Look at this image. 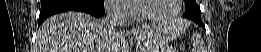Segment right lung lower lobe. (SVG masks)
Wrapping results in <instances>:
<instances>
[{
    "mask_svg": "<svg viewBox=\"0 0 261 52\" xmlns=\"http://www.w3.org/2000/svg\"><path fill=\"white\" fill-rule=\"evenodd\" d=\"M104 1L84 0H41L39 25L48 17L70 10L86 12L97 18L104 15Z\"/></svg>",
    "mask_w": 261,
    "mask_h": 52,
    "instance_id": "1",
    "label": "right lung lower lobe"
}]
</instances>
